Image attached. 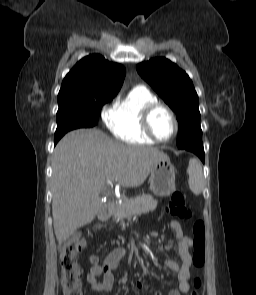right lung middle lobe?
<instances>
[{"mask_svg": "<svg viewBox=\"0 0 256 295\" xmlns=\"http://www.w3.org/2000/svg\"><path fill=\"white\" fill-rule=\"evenodd\" d=\"M112 98H98L77 104L59 105L56 115L57 129L55 136L64 135L76 128L87 127L89 119L97 124L98 115L102 106Z\"/></svg>", "mask_w": 256, "mask_h": 295, "instance_id": "1", "label": "right lung middle lobe"}]
</instances>
